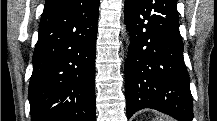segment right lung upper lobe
<instances>
[{
  "instance_id": "obj_1",
  "label": "right lung upper lobe",
  "mask_w": 217,
  "mask_h": 121,
  "mask_svg": "<svg viewBox=\"0 0 217 121\" xmlns=\"http://www.w3.org/2000/svg\"><path fill=\"white\" fill-rule=\"evenodd\" d=\"M74 1L76 0H46L44 9L72 3Z\"/></svg>"
}]
</instances>
